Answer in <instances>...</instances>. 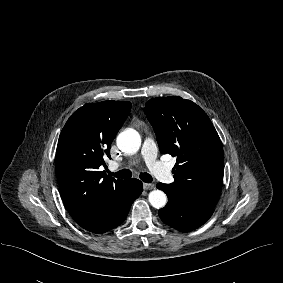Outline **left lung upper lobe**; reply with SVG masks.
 Returning <instances> with one entry per match:
<instances>
[{"label": "left lung upper lobe", "instance_id": "obj_1", "mask_svg": "<svg viewBox=\"0 0 283 283\" xmlns=\"http://www.w3.org/2000/svg\"><path fill=\"white\" fill-rule=\"evenodd\" d=\"M144 112L154 128L159 150L177 157L171 190L183 192L197 204L214 209L223 183L220 138L207 114L178 96L149 100Z\"/></svg>", "mask_w": 283, "mask_h": 283}]
</instances>
